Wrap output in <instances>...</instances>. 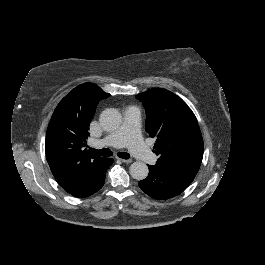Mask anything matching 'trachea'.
<instances>
[{
    "label": "trachea",
    "mask_w": 265,
    "mask_h": 265,
    "mask_svg": "<svg viewBox=\"0 0 265 265\" xmlns=\"http://www.w3.org/2000/svg\"><path fill=\"white\" fill-rule=\"evenodd\" d=\"M90 152H94L95 154H98L100 156H105V157H109L113 155V152L110 149H101V150H95L93 148H89ZM117 156L119 158H123V159H128L130 157V155L127 152H118Z\"/></svg>",
    "instance_id": "1"
}]
</instances>
